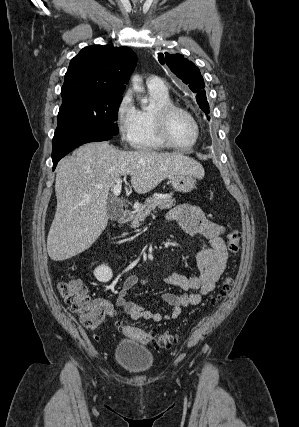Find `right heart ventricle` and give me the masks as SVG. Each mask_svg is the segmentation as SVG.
<instances>
[{"label":"right heart ventricle","mask_w":299,"mask_h":427,"mask_svg":"<svg viewBox=\"0 0 299 427\" xmlns=\"http://www.w3.org/2000/svg\"><path fill=\"white\" fill-rule=\"evenodd\" d=\"M148 92L152 101V106L150 108H141L138 110L139 130L135 146L142 150H161L165 148V145L161 142L156 133L153 113L157 107L172 102L168 91L159 92L148 88Z\"/></svg>","instance_id":"e07e8e85"}]
</instances>
